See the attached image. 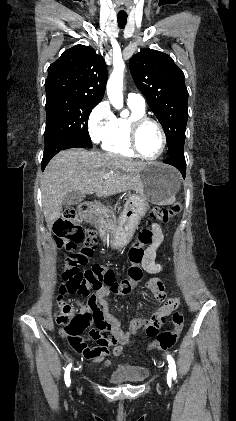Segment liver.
<instances>
[{
	"instance_id": "1",
	"label": "liver",
	"mask_w": 236,
	"mask_h": 421,
	"mask_svg": "<svg viewBox=\"0 0 236 421\" xmlns=\"http://www.w3.org/2000/svg\"><path fill=\"white\" fill-rule=\"evenodd\" d=\"M144 162L127 156L84 148L60 150L48 162L41 180L43 213L49 231L62 215V202L70 190L112 196L123 190H142ZM110 174V178H103Z\"/></svg>"
}]
</instances>
